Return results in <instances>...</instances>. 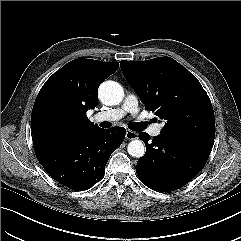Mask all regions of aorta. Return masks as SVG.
<instances>
[{
	"label": "aorta",
	"instance_id": "aorta-1",
	"mask_svg": "<svg viewBox=\"0 0 241 241\" xmlns=\"http://www.w3.org/2000/svg\"><path fill=\"white\" fill-rule=\"evenodd\" d=\"M99 98L106 105H117L123 100L122 86L115 81H105L99 87ZM129 155L140 158L145 154V146L141 140H132L127 147Z\"/></svg>",
	"mask_w": 241,
	"mask_h": 241
}]
</instances>
